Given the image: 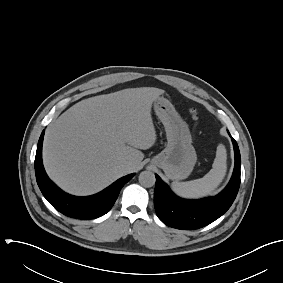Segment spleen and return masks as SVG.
I'll return each instance as SVG.
<instances>
[{"label":"spleen","mask_w":283,"mask_h":283,"mask_svg":"<svg viewBox=\"0 0 283 283\" xmlns=\"http://www.w3.org/2000/svg\"><path fill=\"white\" fill-rule=\"evenodd\" d=\"M227 154L223 144H219L212 169L202 178L187 181L173 182L172 190L180 197L196 199L211 195L223 181L227 171Z\"/></svg>","instance_id":"spleen-1"}]
</instances>
